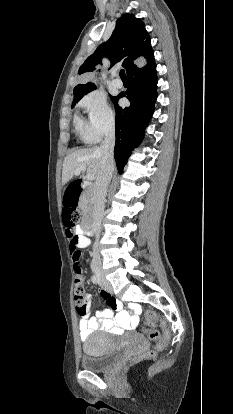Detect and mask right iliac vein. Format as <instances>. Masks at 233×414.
<instances>
[{
  "label": "right iliac vein",
  "instance_id": "right-iliac-vein-1",
  "mask_svg": "<svg viewBox=\"0 0 233 414\" xmlns=\"http://www.w3.org/2000/svg\"><path fill=\"white\" fill-rule=\"evenodd\" d=\"M95 275L101 280L107 290H111L109 282L105 279L103 272L100 269H94Z\"/></svg>",
  "mask_w": 233,
  "mask_h": 414
}]
</instances>
